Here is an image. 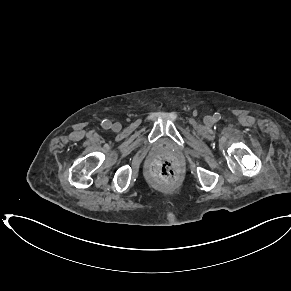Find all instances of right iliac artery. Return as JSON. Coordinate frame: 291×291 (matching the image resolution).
I'll list each match as a JSON object with an SVG mask.
<instances>
[{"instance_id":"82829eb1","label":"right iliac artery","mask_w":291,"mask_h":291,"mask_svg":"<svg viewBox=\"0 0 291 291\" xmlns=\"http://www.w3.org/2000/svg\"><path fill=\"white\" fill-rule=\"evenodd\" d=\"M101 125L104 129H110L112 127V123L109 120H103Z\"/></svg>"}]
</instances>
